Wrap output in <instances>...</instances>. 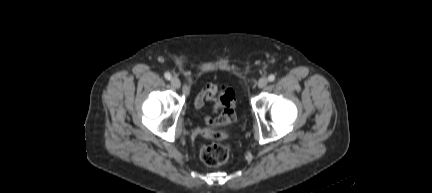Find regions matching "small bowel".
I'll list each match as a JSON object with an SVG mask.
<instances>
[{
    "mask_svg": "<svg viewBox=\"0 0 432 193\" xmlns=\"http://www.w3.org/2000/svg\"><path fill=\"white\" fill-rule=\"evenodd\" d=\"M217 87L212 84H206L203 89L196 95L194 105L197 109H202L206 102H213L215 116H205L204 134L210 138H220L228 133L229 128L236 122L234 110L224 107L216 97Z\"/></svg>",
    "mask_w": 432,
    "mask_h": 193,
    "instance_id": "c3829d8e",
    "label": "small bowel"
}]
</instances>
